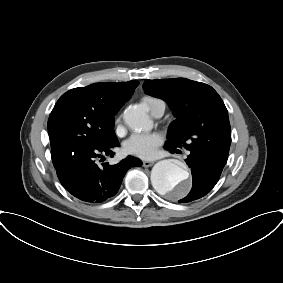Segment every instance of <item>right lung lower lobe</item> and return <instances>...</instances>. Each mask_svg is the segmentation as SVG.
<instances>
[{
	"label": "right lung lower lobe",
	"mask_w": 283,
	"mask_h": 283,
	"mask_svg": "<svg viewBox=\"0 0 283 283\" xmlns=\"http://www.w3.org/2000/svg\"><path fill=\"white\" fill-rule=\"evenodd\" d=\"M109 147L81 146L69 153L51 154L57 176L74 197L89 203H100L113 197L119 190L122 179L131 167H140L142 162L128 156L116 165L98 164V158L112 155Z\"/></svg>",
	"instance_id": "right-lung-lower-lobe-1"
}]
</instances>
